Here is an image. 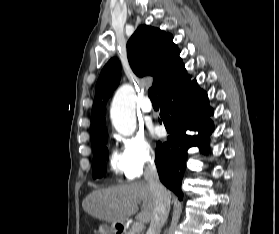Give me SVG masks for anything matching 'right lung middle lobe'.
Here are the masks:
<instances>
[{
	"label": "right lung middle lobe",
	"mask_w": 279,
	"mask_h": 234,
	"mask_svg": "<svg viewBox=\"0 0 279 234\" xmlns=\"http://www.w3.org/2000/svg\"><path fill=\"white\" fill-rule=\"evenodd\" d=\"M107 136L102 137L92 144L93 149V178L101 177L105 173V161L108 157V150L105 147Z\"/></svg>",
	"instance_id": "obj_1"
}]
</instances>
